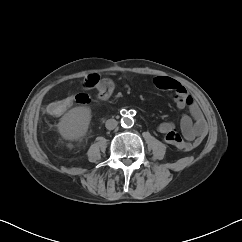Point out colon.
<instances>
[{"label":"colon","instance_id":"5ec220e1","mask_svg":"<svg viewBox=\"0 0 242 242\" xmlns=\"http://www.w3.org/2000/svg\"><path fill=\"white\" fill-rule=\"evenodd\" d=\"M97 79L92 78L90 81L83 85V89L87 90L94 86H96ZM98 90V97L100 99H106L110 96L111 92L109 88L103 87L99 88ZM90 100L89 95L86 92H80L75 96V101L80 104L88 103ZM69 108V99L68 97L54 101L48 105V112L52 115H61Z\"/></svg>","mask_w":242,"mask_h":242}]
</instances>
